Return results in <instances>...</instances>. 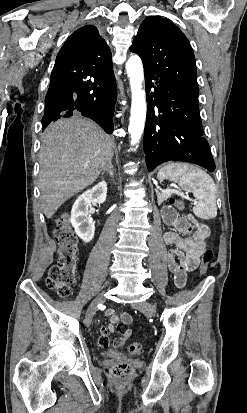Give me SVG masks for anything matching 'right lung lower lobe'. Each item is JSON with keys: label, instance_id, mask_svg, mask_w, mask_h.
Instances as JSON below:
<instances>
[{"label": "right lung lower lobe", "instance_id": "obj_1", "mask_svg": "<svg viewBox=\"0 0 247 413\" xmlns=\"http://www.w3.org/2000/svg\"><path fill=\"white\" fill-rule=\"evenodd\" d=\"M116 93L113 69L97 74L53 70L45 98L42 130L60 118L81 113L111 134Z\"/></svg>", "mask_w": 247, "mask_h": 413}]
</instances>
